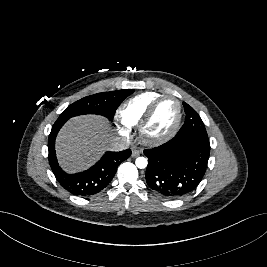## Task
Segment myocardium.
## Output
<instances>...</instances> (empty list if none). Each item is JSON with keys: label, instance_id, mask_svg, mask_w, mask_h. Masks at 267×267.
<instances>
[{"label": "myocardium", "instance_id": "1", "mask_svg": "<svg viewBox=\"0 0 267 267\" xmlns=\"http://www.w3.org/2000/svg\"><path fill=\"white\" fill-rule=\"evenodd\" d=\"M165 99H173L176 102L177 107H178L177 120H176L173 128L167 134H165L161 137H155V138L150 137L146 134L147 125L150 122L157 106ZM182 116H183V107H182V103H181L179 98H177L176 96L171 95V94H164V95L157 97L148 106V108L146 109L145 113L143 114V116H142V118H141V120L137 126L139 138L141 139V141L143 143H145L147 145H160V144H163V143L169 141L178 132V130L181 126Z\"/></svg>", "mask_w": 267, "mask_h": 267}]
</instances>
